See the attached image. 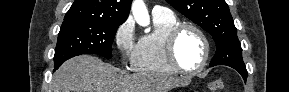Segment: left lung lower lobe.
I'll list each match as a JSON object with an SVG mask.
<instances>
[{
  "instance_id": "left-lung-lower-lobe-1",
  "label": "left lung lower lobe",
  "mask_w": 289,
  "mask_h": 92,
  "mask_svg": "<svg viewBox=\"0 0 289 92\" xmlns=\"http://www.w3.org/2000/svg\"><path fill=\"white\" fill-rule=\"evenodd\" d=\"M232 68L236 69L241 74V76L243 77L244 81L246 82V79H247V76H248L246 67L245 68L244 67H242V68L232 67Z\"/></svg>"
}]
</instances>
